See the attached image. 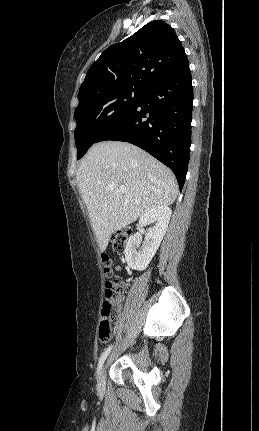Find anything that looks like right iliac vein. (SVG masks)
Listing matches in <instances>:
<instances>
[{"mask_svg":"<svg viewBox=\"0 0 259 431\" xmlns=\"http://www.w3.org/2000/svg\"><path fill=\"white\" fill-rule=\"evenodd\" d=\"M104 380H105V368H102L100 375H99V379H98V386L99 387L103 386Z\"/></svg>","mask_w":259,"mask_h":431,"instance_id":"right-iliac-vein-1","label":"right iliac vein"}]
</instances>
